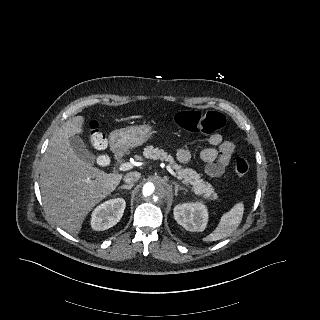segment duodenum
I'll use <instances>...</instances> for the list:
<instances>
[{"label":"duodenum","mask_w":320,"mask_h":320,"mask_svg":"<svg viewBox=\"0 0 320 320\" xmlns=\"http://www.w3.org/2000/svg\"><path fill=\"white\" fill-rule=\"evenodd\" d=\"M113 151H114V154H115L116 158H121L122 157V151H121L119 146L113 145Z\"/></svg>","instance_id":"1"}]
</instances>
